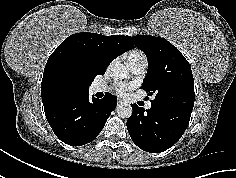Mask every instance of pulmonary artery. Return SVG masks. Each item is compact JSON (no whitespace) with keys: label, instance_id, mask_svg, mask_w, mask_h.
Listing matches in <instances>:
<instances>
[{"label":"pulmonary artery","instance_id":"e3ab8cb5","mask_svg":"<svg viewBox=\"0 0 236 178\" xmlns=\"http://www.w3.org/2000/svg\"><path fill=\"white\" fill-rule=\"evenodd\" d=\"M129 67L132 71V73L134 74H140L142 73L146 67H147V61H139V62H136V63H133V64H129ZM105 88L102 86V85H94L92 86V91L93 92H101V91H104ZM152 106V103L149 101L146 103L145 107L147 109H150Z\"/></svg>","mask_w":236,"mask_h":178}]
</instances>
